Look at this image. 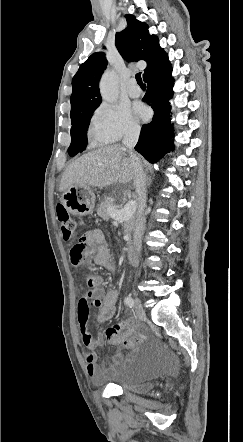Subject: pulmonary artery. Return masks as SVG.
Listing matches in <instances>:
<instances>
[{
    "mask_svg": "<svg viewBox=\"0 0 243 442\" xmlns=\"http://www.w3.org/2000/svg\"><path fill=\"white\" fill-rule=\"evenodd\" d=\"M128 94L132 98H138L141 95V89L137 86L134 78L130 79L128 82Z\"/></svg>",
    "mask_w": 243,
    "mask_h": 442,
    "instance_id": "obj_1",
    "label": "pulmonary artery"
}]
</instances>
